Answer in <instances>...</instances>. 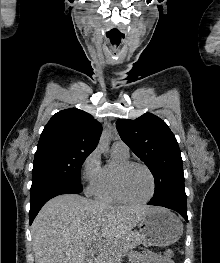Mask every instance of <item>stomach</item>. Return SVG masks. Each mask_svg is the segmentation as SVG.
Instances as JSON below:
<instances>
[{"instance_id": "obj_1", "label": "stomach", "mask_w": 220, "mask_h": 263, "mask_svg": "<svg viewBox=\"0 0 220 263\" xmlns=\"http://www.w3.org/2000/svg\"><path fill=\"white\" fill-rule=\"evenodd\" d=\"M141 241L145 245L169 246L179 240L183 224L171 211L155 208L149 211L139 223Z\"/></svg>"}]
</instances>
